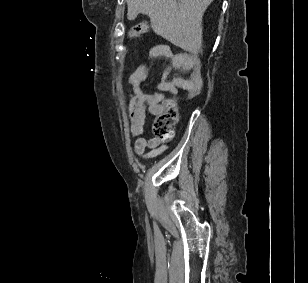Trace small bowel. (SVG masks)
Here are the masks:
<instances>
[{"label": "small bowel", "mask_w": 308, "mask_h": 283, "mask_svg": "<svg viewBox=\"0 0 308 283\" xmlns=\"http://www.w3.org/2000/svg\"><path fill=\"white\" fill-rule=\"evenodd\" d=\"M153 56H166L171 59V66L165 70L157 84V93L148 94L142 89V84L148 78L145 66L137 67L129 76L132 90L128 92V113L130 118L131 135L135 137L133 151L143 160L155 158L167 151L168 146L157 138L143 137L146 114L157 115L161 111V102L167 93L176 94L180 89L186 90L189 86V77L176 75L169 78L171 70L190 75L192 57L186 53L173 54L168 46L158 45L152 48Z\"/></svg>", "instance_id": "obj_1"}]
</instances>
